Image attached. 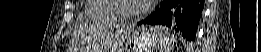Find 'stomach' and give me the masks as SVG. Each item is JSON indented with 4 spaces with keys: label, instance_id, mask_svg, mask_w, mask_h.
Instances as JSON below:
<instances>
[{
    "label": "stomach",
    "instance_id": "obj_1",
    "mask_svg": "<svg viewBox=\"0 0 261 52\" xmlns=\"http://www.w3.org/2000/svg\"><path fill=\"white\" fill-rule=\"evenodd\" d=\"M121 52H154L159 45V34L155 28L129 31L122 40Z\"/></svg>",
    "mask_w": 261,
    "mask_h": 52
}]
</instances>
